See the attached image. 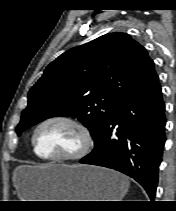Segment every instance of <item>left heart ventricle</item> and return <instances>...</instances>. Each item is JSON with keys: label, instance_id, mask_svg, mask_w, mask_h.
I'll return each mask as SVG.
<instances>
[{"label": "left heart ventricle", "instance_id": "b2bd125f", "mask_svg": "<svg viewBox=\"0 0 176 211\" xmlns=\"http://www.w3.org/2000/svg\"><path fill=\"white\" fill-rule=\"evenodd\" d=\"M81 138L72 126L54 122L42 127L36 137V146L42 156H63L75 153Z\"/></svg>", "mask_w": 176, "mask_h": 211}]
</instances>
